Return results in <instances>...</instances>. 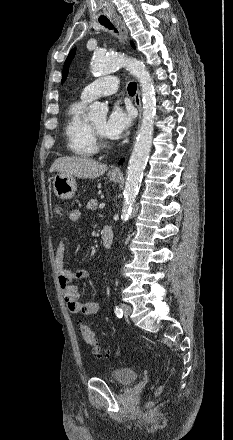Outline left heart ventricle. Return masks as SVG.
<instances>
[{
    "label": "left heart ventricle",
    "instance_id": "obj_1",
    "mask_svg": "<svg viewBox=\"0 0 233 440\" xmlns=\"http://www.w3.org/2000/svg\"><path fill=\"white\" fill-rule=\"evenodd\" d=\"M92 124L101 132V133H103L104 135H106L105 134V124H106V118L103 116V117H99V118H97L96 120H94L93 122H92Z\"/></svg>",
    "mask_w": 233,
    "mask_h": 440
}]
</instances>
